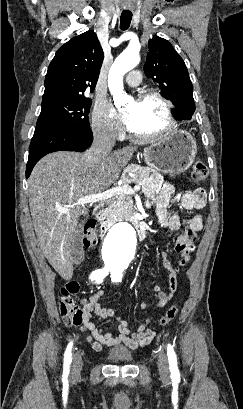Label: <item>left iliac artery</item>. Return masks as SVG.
I'll list each match as a JSON object with an SVG mask.
<instances>
[{
    "label": "left iliac artery",
    "instance_id": "left-iliac-artery-1",
    "mask_svg": "<svg viewBox=\"0 0 243 409\" xmlns=\"http://www.w3.org/2000/svg\"><path fill=\"white\" fill-rule=\"evenodd\" d=\"M111 277L113 282H120L122 278V272L118 270L111 271ZM167 355L169 360V369L171 372V377L173 380H178L180 377L178 366H177V358L173 346L170 344L167 345Z\"/></svg>",
    "mask_w": 243,
    "mask_h": 409
}]
</instances>
